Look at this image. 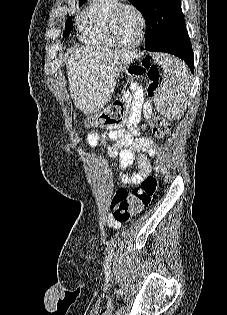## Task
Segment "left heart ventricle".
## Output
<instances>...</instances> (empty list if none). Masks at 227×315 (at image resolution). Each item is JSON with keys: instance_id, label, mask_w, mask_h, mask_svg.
<instances>
[{"instance_id": "obj_1", "label": "left heart ventricle", "mask_w": 227, "mask_h": 315, "mask_svg": "<svg viewBox=\"0 0 227 315\" xmlns=\"http://www.w3.org/2000/svg\"><path fill=\"white\" fill-rule=\"evenodd\" d=\"M114 31L119 43L123 45L136 43L140 33L139 17L134 11L124 9L116 20Z\"/></svg>"}]
</instances>
